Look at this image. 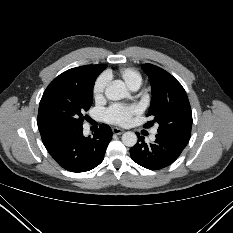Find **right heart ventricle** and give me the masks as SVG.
Wrapping results in <instances>:
<instances>
[{
	"label": "right heart ventricle",
	"mask_w": 233,
	"mask_h": 233,
	"mask_svg": "<svg viewBox=\"0 0 233 233\" xmlns=\"http://www.w3.org/2000/svg\"><path fill=\"white\" fill-rule=\"evenodd\" d=\"M109 77V74H107ZM120 75L124 82L131 88L135 84H141L142 78L140 73L131 67H125L120 70Z\"/></svg>",
	"instance_id": "right-heart-ventricle-1"
}]
</instances>
